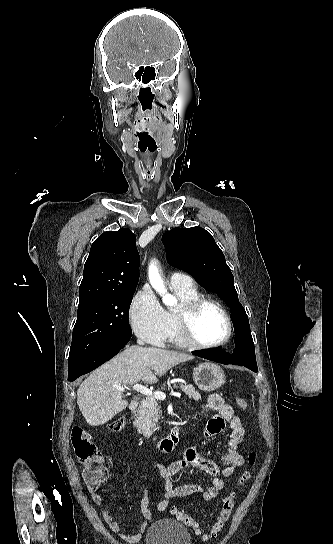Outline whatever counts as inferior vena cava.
Masks as SVG:
<instances>
[{
	"mask_svg": "<svg viewBox=\"0 0 333 544\" xmlns=\"http://www.w3.org/2000/svg\"><path fill=\"white\" fill-rule=\"evenodd\" d=\"M137 343L140 344V345H143L144 341L142 339L138 338Z\"/></svg>",
	"mask_w": 333,
	"mask_h": 544,
	"instance_id": "1",
	"label": "inferior vena cava"
}]
</instances>
